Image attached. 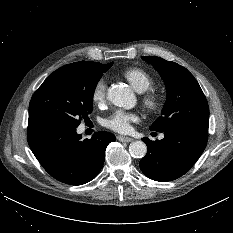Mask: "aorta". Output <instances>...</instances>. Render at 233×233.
Returning <instances> with one entry per match:
<instances>
[{"mask_svg": "<svg viewBox=\"0 0 233 233\" xmlns=\"http://www.w3.org/2000/svg\"><path fill=\"white\" fill-rule=\"evenodd\" d=\"M107 98L114 105L125 109L133 108L136 104V97L130 87L118 84L110 87ZM129 152L134 158H143L147 153V146L143 141H134L129 145Z\"/></svg>", "mask_w": 233, "mask_h": 233, "instance_id": "762f6f07", "label": "aorta"}]
</instances>
